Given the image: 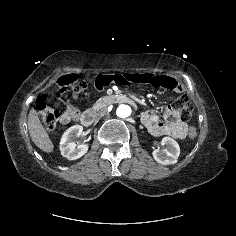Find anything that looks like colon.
I'll use <instances>...</instances> for the list:
<instances>
[{
	"label": "colon",
	"instance_id": "5ec220e1",
	"mask_svg": "<svg viewBox=\"0 0 236 236\" xmlns=\"http://www.w3.org/2000/svg\"><path fill=\"white\" fill-rule=\"evenodd\" d=\"M87 91L88 83L84 79L67 77L62 81L58 90L59 99L65 103L71 99L76 100L79 98H85ZM172 108L180 111L183 120H190L194 111V106L186 95H181L173 99ZM36 111L46 129L52 130L56 127L60 117V110L58 107L47 103V99L42 97L38 100ZM196 135L197 128L195 126H190L188 137L193 139Z\"/></svg>",
	"mask_w": 236,
	"mask_h": 236
}]
</instances>
